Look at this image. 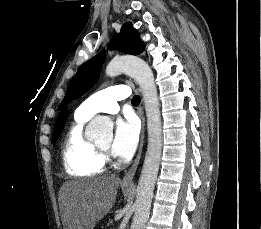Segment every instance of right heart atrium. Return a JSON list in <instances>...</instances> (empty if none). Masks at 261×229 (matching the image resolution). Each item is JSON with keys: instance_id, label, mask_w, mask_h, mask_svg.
<instances>
[{"instance_id": "d8ad5b80", "label": "right heart atrium", "mask_w": 261, "mask_h": 229, "mask_svg": "<svg viewBox=\"0 0 261 229\" xmlns=\"http://www.w3.org/2000/svg\"><path fill=\"white\" fill-rule=\"evenodd\" d=\"M103 160H104L105 162H107V163L111 162V159H110L109 156L106 155V154L103 156Z\"/></svg>"}]
</instances>
